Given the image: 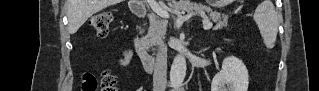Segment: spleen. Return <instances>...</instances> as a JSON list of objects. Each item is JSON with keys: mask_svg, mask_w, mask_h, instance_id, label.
<instances>
[{"mask_svg": "<svg viewBox=\"0 0 319 91\" xmlns=\"http://www.w3.org/2000/svg\"><path fill=\"white\" fill-rule=\"evenodd\" d=\"M253 17L258 25L264 44L269 49L273 48L279 26L278 14L273 3L270 0H264L257 6Z\"/></svg>", "mask_w": 319, "mask_h": 91, "instance_id": "3e777b00", "label": "spleen"}]
</instances>
